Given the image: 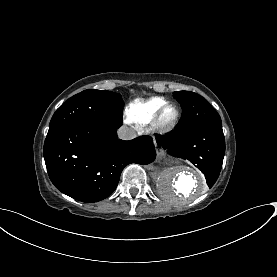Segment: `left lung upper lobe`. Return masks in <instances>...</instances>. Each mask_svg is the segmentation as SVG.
Returning a JSON list of instances; mask_svg holds the SVG:
<instances>
[{
    "label": "left lung upper lobe",
    "mask_w": 277,
    "mask_h": 277,
    "mask_svg": "<svg viewBox=\"0 0 277 277\" xmlns=\"http://www.w3.org/2000/svg\"><path fill=\"white\" fill-rule=\"evenodd\" d=\"M173 96L181 104L183 110V118L177 129L222 123L219 114L200 95L190 91H176Z\"/></svg>",
    "instance_id": "5c2ea615"
}]
</instances>
